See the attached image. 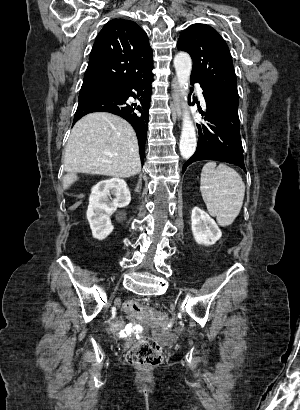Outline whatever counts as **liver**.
<instances>
[{"instance_id":"liver-1","label":"liver","mask_w":300,"mask_h":410,"mask_svg":"<svg viewBox=\"0 0 300 410\" xmlns=\"http://www.w3.org/2000/svg\"><path fill=\"white\" fill-rule=\"evenodd\" d=\"M63 186L77 173L130 177L141 171L135 131L123 118L104 112L90 113L73 127L64 152Z\"/></svg>"}]
</instances>
